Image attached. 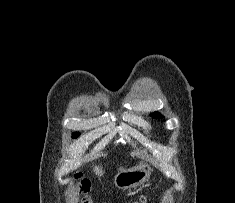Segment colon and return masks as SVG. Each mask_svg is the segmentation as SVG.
Here are the masks:
<instances>
[{
	"label": "colon",
	"mask_w": 235,
	"mask_h": 203,
	"mask_svg": "<svg viewBox=\"0 0 235 203\" xmlns=\"http://www.w3.org/2000/svg\"><path fill=\"white\" fill-rule=\"evenodd\" d=\"M77 187L79 194L81 195L80 203H93V200L89 196L90 191V183L86 179H79L77 178ZM133 203H146V200L144 197L139 198V200L133 202Z\"/></svg>",
	"instance_id": "obj_1"
}]
</instances>
